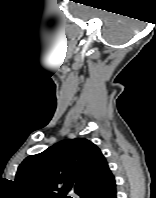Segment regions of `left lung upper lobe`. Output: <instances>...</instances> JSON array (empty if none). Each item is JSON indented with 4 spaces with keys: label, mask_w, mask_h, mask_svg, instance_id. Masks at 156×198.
Instances as JSON below:
<instances>
[{
    "label": "left lung upper lobe",
    "mask_w": 156,
    "mask_h": 198,
    "mask_svg": "<svg viewBox=\"0 0 156 198\" xmlns=\"http://www.w3.org/2000/svg\"><path fill=\"white\" fill-rule=\"evenodd\" d=\"M109 171L100 149L85 138H77L28 156L18 167L15 181L27 198H69V191L80 196Z\"/></svg>",
    "instance_id": "obj_1"
}]
</instances>
